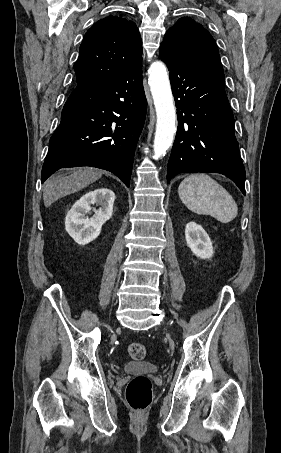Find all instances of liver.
Masks as SVG:
<instances>
[{
  "label": "liver",
  "mask_w": 281,
  "mask_h": 453,
  "mask_svg": "<svg viewBox=\"0 0 281 453\" xmlns=\"http://www.w3.org/2000/svg\"><path fill=\"white\" fill-rule=\"evenodd\" d=\"M102 170H94V168H79L75 170L73 174L69 176H54V178H48L43 188V200L45 206H51L52 202L66 196V194H72L77 190H82L85 186H89L91 182H95L98 178H101Z\"/></svg>",
  "instance_id": "1"
}]
</instances>
